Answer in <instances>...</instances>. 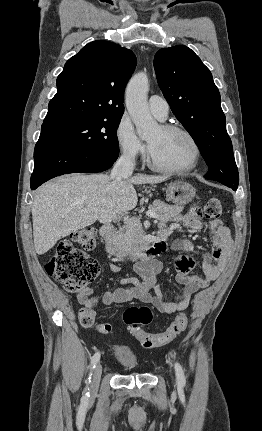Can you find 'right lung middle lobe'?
<instances>
[{
  "label": "right lung middle lobe",
  "mask_w": 262,
  "mask_h": 431,
  "mask_svg": "<svg viewBox=\"0 0 262 431\" xmlns=\"http://www.w3.org/2000/svg\"><path fill=\"white\" fill-rule=\"evenodd\" d=\"M121 117H89L42 125L39 139L68 142L117 158L116 130Z\"/></svg>",
  "instance_id": "obj_1"
}]
</instances>
